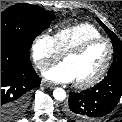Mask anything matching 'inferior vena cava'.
<instances>
[{
	"label": "inferior vena cava",
	"instance_id": "inferior-vena-cava-1",
	"mask_svg": "<svg viewBox=\"0 0 122 122\" xmlns=\"http://www.w3.org/2000/svg\"><path fill=\"white\" fill-rule=\"evenodd\" d=\"M40 69H43L45 66L44 65H37Z\"/></svg>",
	"mask_w": 122,
	"mask_h": 122
}]
</instances>
